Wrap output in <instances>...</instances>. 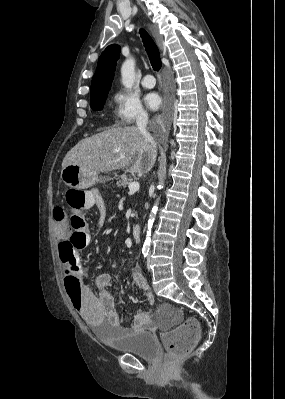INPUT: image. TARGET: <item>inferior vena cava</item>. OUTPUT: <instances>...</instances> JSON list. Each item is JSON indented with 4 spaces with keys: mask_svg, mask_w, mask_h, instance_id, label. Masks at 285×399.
I'll return each mask as SVG.
<instances>
[{
    "mask_svg": "<svg viewBox=\"0 0 285 399\" xmlns=\"http://www.w3.org/2000/svg\"><path fill=\"white\" fill-rule=\"evenodd\" d=\"M147 123H148V115L146 113H140L137 116L136 125H137V128L139 129V131L144 135L149 149L153 152V149L156 147V142H155L154 138L151 136V134L146 129ZM154 159H155V156L153 154V161H154Z\"/></svg>",
    "mask_w": 285,
    "mask_h": 399,
    "instance_id": "602c4592",
    "label": "inferior vena cava"
}]
</instances>
